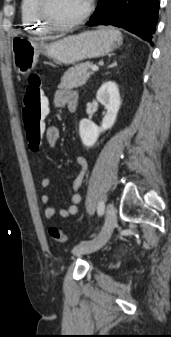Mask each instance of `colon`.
<instances>
[{
    "mask_svg": "<svg viewBox=\"0 0 171 337\" xmlns=\"http://www.w3.org/2000/svg\"><path fill=\"white\" fill-rule=\"evenodd\" d=\"M49 94H43L42 80L38 73L29 76L23 98V124L28 146L37 149L41 145L44 133L45 118L49 116ZM51 238L63 243L67 240L66 234L59 228L49 229Z\"/></svg>",
    "mask_w": 171,
    "mask_h": 337,
    "instance_id": "colon-1",
    "label": "colon"
}]
</instances>
